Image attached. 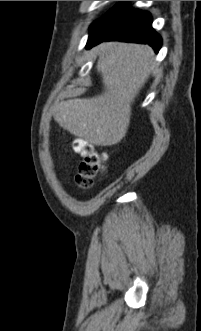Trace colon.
Here are the masks:
<instances>
[{
  "label": "colon",
  "instance_id": "1",
  "mask_svg": "<svg viewBox=\"0 0 201 331\" xmlns=\"http://www.w3.org/2000/svg\"><path fill=\"white\" fill-rule=\"evenodd\" d=\"M73 147L82 157L75 177L76 183L81 188H89L95 178L103 173L106 155L84 140L75 141Z\"/></svg>",
  "mask_w": 201,
  "mask_h": 331
}]
</instances>
